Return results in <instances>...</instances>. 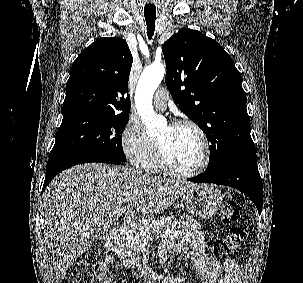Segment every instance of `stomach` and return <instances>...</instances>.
<instances>
[{
	"label": "stomach",
	"instance_id": "obj_1",
	"mask_svg": "<svg viewBox=\"0 0 303 283\" xmlns=\"http://www.w3.org/2000/svg\"><path fill=\"white\" fill-rule=\"evenodd\" d=\"M185 203L187 210L200 219L212 218L220 207L221 192L209 185H198L187 190Z\"/></svg>",
	"mask_w": 303,
	"mask_h": 283
}]
</instances>
